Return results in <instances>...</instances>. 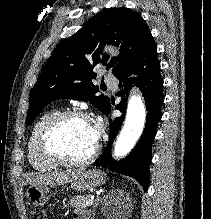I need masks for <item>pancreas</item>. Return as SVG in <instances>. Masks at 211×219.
Masks as SVG:
<instances>
[{
    "label": "pancreas",
    "instance_id": "pancreas-1",
    "mask_svg": "<svg viewBox=\"0 0 211 219\" xmlns=\"http://www.w3.org/2000/svg\"><path fill=\"white\" fill-rule=\"evenodd\" d=\"M89 198H90V195L88 194L78 195V196L71 198L68 205H70L71 207L77 208V209L86 208Z\"/></svg>",
    "mask_w": 211,
    "mask_h": 219
}]
</instances>
